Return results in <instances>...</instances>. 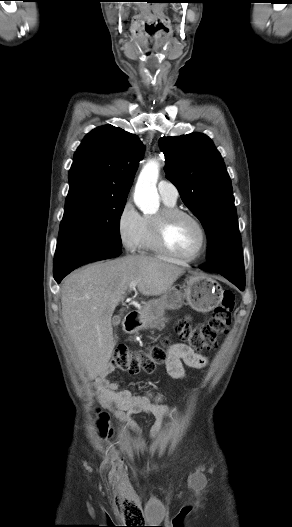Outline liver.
Wrapping results in <instances>:
<instances>
[{
	"instance_id": "obj_1",
	"label": "liver",
	"mask_w": 292,
	"mask_h": 527,
	"mask_svg": "<svg viewBox=\"0 0 292 527\" xmlns=\"http://www.w3.org/2000/svg\"><path fill=\"white\" fill-rule=\"evenodd\" d=\"M185 268L144 255H127L81 268L61 288L62 317L90 379L106 368L115 347L112 314L131 282L147 296L165 294Z\"/></svg>"
}]
</instances>
